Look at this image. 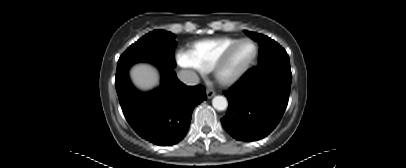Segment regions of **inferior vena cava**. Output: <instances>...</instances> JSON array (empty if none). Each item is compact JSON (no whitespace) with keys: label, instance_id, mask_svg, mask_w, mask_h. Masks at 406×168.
I'll return each mask as SVG.
<instances>
[{"label":"inferior vena cava","instance_id":"obj_1","mask_svg":"<svg viewBox=\"0 0 406 168\" xmlns=\"http://www.w3.org/2000/svg\"><path fill=\"white\" fill-rule=\"evenodd\" d=\"M178 78L181 82L188 86H195L199 83L197 74L190 70H182L178 73Z\"/></svg>","mask_w":406,"mask_h":168}]
</instances>
